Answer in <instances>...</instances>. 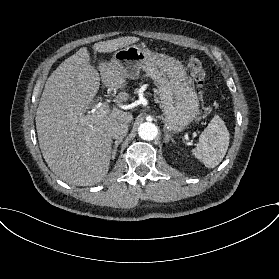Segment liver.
I'll use <instances>...</instances> for the list:
<instances>
[{
	"label": "liver",
	"mask_w": 279,
	"mask_h": 279,
	"mask_svg": "<svg viewBox=\"0 0 279 279\" xmlns=\"http://www.w3.org/2000/svg\"><path fill=\"white\" fill-rule=\"evenodd\" d=\"M138 41V37H120L97 42L93 50L110 53ZM98 69L100 74L90 64L87 48H80L49 76L36 111L39 147L48 167L61 180L76 186H92L105 178L112 150L108 131L117 123L133 120L130 112L117 107L107 114H84L95 108L100 80L109 89L126 86L116 65L101 62ZM117 98L121 103L129 94L120 92Z\"/></svg>",
	"instance_id": "1"
}]
</instances>
